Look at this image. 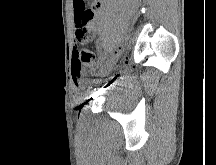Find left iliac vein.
I'll return each mask as SVG.
<instances>
[{
    "label": "left iliac vein",
    "mask_w": 216,
    "mask_h": 165,
    "mask_svg": "<svg viewBox=\"0 0 216 165\" xmlns=\"http://www.w3.org/2000/svg\"><path fill=\"white\" fill-rule=\"evenodd\" d=\"M120 56V52L118 51L117 53H113L108 60L105 63V71L108 72L110 71L117 63L118 59Z\"/></svg>",
    "instance_id": "4c4485c4"
}]
</instances>
